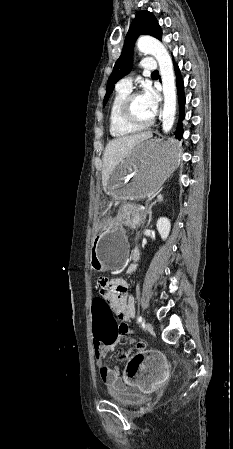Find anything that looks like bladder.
Returning a JSON list of instances; mask_svg holds the SVG:
<instances>
[{"label":"bladder","instance_id":"31cf9c89","mask_svg":"<svg viewBox=\"0 0 233 449\" xmlns=\"http://www.w3.org/2000/svg\"><path fill=\"white\" fill-rule=\"evenodd\" d=\"M112 401L122 407H134L143 404L146 397L132 388L116 387L108 390Z\"/></svg>","mask_w":233,"mask_h":449}]
</instances>
